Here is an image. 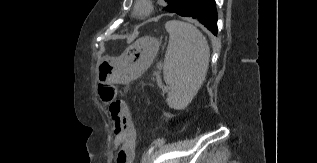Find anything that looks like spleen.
Listing matches in <instances>:
<instances>
[{
  "instance_id": "3e777b00",
  "label": "spleen",
  "mask_w": 317,
  "mask_h": 163,
  "mask_svg": "<svg viewBox=\"0 0 317 163\" xmlns=\"http://www.w3.org/2000/svg\"><path fill=\"white\" fill-rule=\"evenodd\" d=\"M169 42L163 74L169 85L167 103L176 110L184 109L203 84L210 49L206 38L192 24L171 20L165 24Z\"/></svg>"
}]
</instances>
